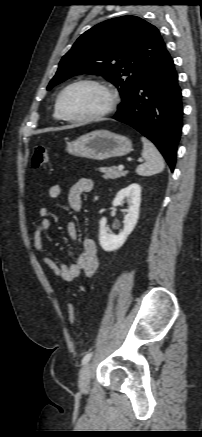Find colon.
Returning <instances> with one entry per match:
<instances>
[{
    "label": "colon",
    "instance_id": "1",
    "mask_svg": "<svg viewBox=\"0 0 202 437\" xmlns=\"http://www.w3.org/2000/svg\"><path fill=\"white\" fill-rule=\"evenodd\" d=\"M50 158V151L44 146H35L32 154L31 165L33 168H40L45 165ZM68 320L71 324L76 321L77 312L73 303L68 304Z\"/></svg>",
    "mask_w": 202,
    "mask_h": 437
}]
</instances>
